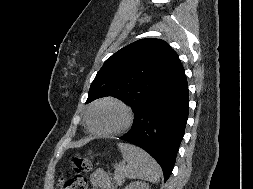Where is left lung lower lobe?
<instances>
[{"label":"left lung lower lobe","instance_id":"1","mask_svg":"<svg viewBox=\"0 0 253 189\" xmlns=\"http://www.w3.org/2000/svg\"><path fill=\"white\" fill-rule=\"evenodd\" d=\"M188 83L184 70L174 82L142 107L132 128L120 139L147 151L169 178L185 132L189 108Z\"/></svg>","mask_w":253,"mask_h":189}]
</instances>
